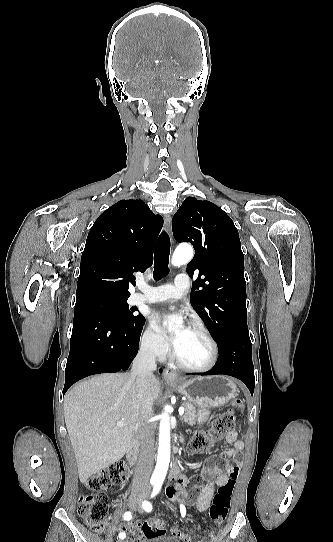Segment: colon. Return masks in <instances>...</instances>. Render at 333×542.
<instances>
[{
    "label": "colon",
    "mask_w": 333,
    "mask_h": 542,
    "mask_svg": "<svg viewBox=\"0 0 333 542\" xmlns=\"http://www.w3.org/2000/svg\"><path fill=\"white\" fill-rule=\"evenodd\" d=\"M230 410L222 412L211 424L208 430L196 431L189 443V451L194 454H203L207 452L218 440L227 433H234L236 426L235 411L242 409L241 400H234ZM220 465L224 467L229 475L227 483L223 484L217 491L213 503L210 507V517L216 524H222L227 517L231 505V498L238 479L241 461L239 458L224 459L219 458ZM127 478V470L121 472L118 464H112L102 469L99 473L87 480V487L94 494H84L81 496L78 511L80 516L95 532H102L105 528V516L108 510V499L103 493V489L114 490L121 485ZM202 484L199 475L191 477V485L196 487ZM143 535L146 539L160 538L166 533L165 523L158 518L146 520L142 525ZM175 537L184 539L181 531L175 533Z\"/></svg>",
    "instance_id": "1"
}]
</instances>
